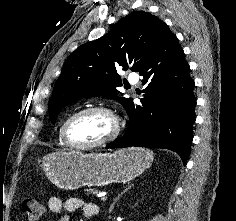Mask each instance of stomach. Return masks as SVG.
Instances as JSON below:
<instances>
[{
	"label": "stomach",
	"instance_id": "stomach-1",
	"mask_svg": "<svg viewBox=\"0 0 236 221\" xmlns=\"http://www.w3.org/2000/svg\"><path fill=\"white\" fill-rule=\"evenodd\" d=\"M152 161L150 150L131 147L112 153L55 152L42 159L41 167L57 187L75 190L83 186L126 183L141 175Z\"/></svg>",
	"mask_w": 236,
	"mask_h": 221
}]
</instances>
